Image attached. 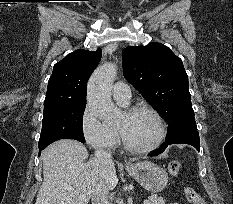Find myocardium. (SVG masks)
Instances as JSON below:
<instances>
[{"instance_id":"myocardium-1","label":"myocardium","mask_w":233,"mask_h":204,"mask_svg":"<svg viewBox=\"0 0 233 204\" xmlns=\"http://www.w3.org/2000/svg\"><path fill=\"white\" fill-rule=\"evenodd\" d=\"M139 111L149 112L151 115H153V117L157 121V124L159 127V134H158L157 139L152 144L148 146H144V147L134 146L127 140L125 134L120 128L116 127V130L118 132L120 141L126 150L133 152V153H148V152H151L157 149L164 142L166 135H167V128H166L165 121L163 117L161 116V114L155 108L149 105H145V104L132 105V106L127 107L124 110V113L126 115H133Z\"/></svg>"}]
</instances>
